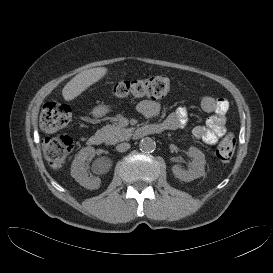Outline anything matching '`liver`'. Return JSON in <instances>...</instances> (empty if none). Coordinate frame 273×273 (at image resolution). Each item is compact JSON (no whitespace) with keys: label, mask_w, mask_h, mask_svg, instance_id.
Listing matches in <instances>:
<instances>
[{"label":"liver","mask_w":273,"mask_h":273,"mask_svg":"<svg viewBox=\"0 0 273 273\" xmlns=\"http://www.w3.org/2000/svg\"><path fill=\"white\" fill-rule=\"evenodd\" d=\"M108 72L106 67L91 68L74 76L63 88L62 95L66 101L79 96L88 87L102 79Z\"/></svg>","instance_id":"obj_1"}]
</instances>
